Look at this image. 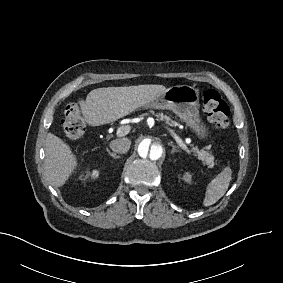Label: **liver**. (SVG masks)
Masks as SVG:
<instances>
[{"label":"liver","mask_w":283,"mask_h":283,"mask_svg":"<svg viewBox=\"0 0 283 283\" xmlns=\"http://www.w3.org/2000/svg\"><path fill=\"white\" fill-rule=\"evenodd\" d=\"M163 85H138L129 87L97 88L78 103L83 114V122L90 126H100L114 122L161 96ZM45 175L52 186H62L76 167V157L69 145L52 133L45 142Z\"/></svg>","instance_id":"6515ba94"}]
</instances>
